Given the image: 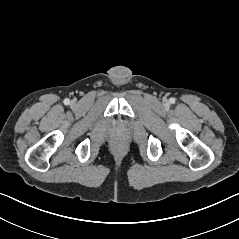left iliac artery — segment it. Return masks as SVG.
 Here are the masks:
<instances>
[{"instance_id":"44dca946","label":"left iliac artery","mask_w":239,"mask_h":239,"mask_svg":"<svg viewBox=\"0 0 239 239\" xmlns=\"http://www.w3.org/2000/svg\"><path fill=\"white\" fill-rule=\"evenodd\" d=\"M170 102H171V103H174V102H175V99H174V98H171V99H170Z\"/></svg>"}]
</instances>
